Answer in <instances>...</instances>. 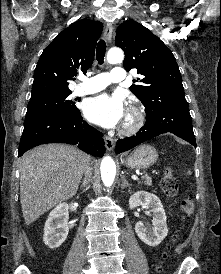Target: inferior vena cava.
Here are the masks:
<instances>
[{"instance_id":"obj_1","label":"inferior vena cava","mask_w":221,"mask_h":274,"mask_svg":"<svg viewBox=\"0 0 221 274\" xmlns=\"http://www.w3.org/2000/svg\"><path fill=\"white\" fill-rule=\"evenodd\" d=\"M84 173H85V179L83 181V186H85L87 184V178L90 177V175H91V168L89 167V163L86 164V166L84 168Z\"/></svg>"}]
</instances>
